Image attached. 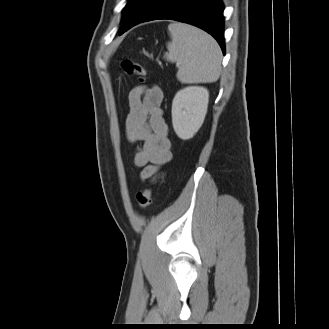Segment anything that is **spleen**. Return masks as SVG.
I'll return each mask as SVG.
<instances>
[{
  "label": "spleen",
  "instance_id": "1",
  "mask_svg": "<svg viewBox=\"0 0 329 329\" xmlns=\"http://www.w3.org/2000/svg\"><path fill=\"white\" fill-rule=\"evenodd\" d=\"M168 31L172 40L165 58L177 63L181 83H212L219 79L222 55L213 37L184 23H172Z\"/></svg>",
  "mask_w": 329,
  "mask_h": 329
}]
</instances>
